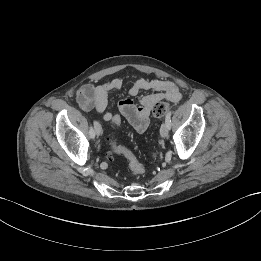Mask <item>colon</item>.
I'll use <instances>...</instances> for the list:
<instances>
[{
	"label": "colon",
	"mask_w": 261,
	"mask_h": 261,
	"mask_svg": "<svg viewBox=\"0 0 261 261\" xmlns=\"http://www.w3.org/2000/svg\"><path fill=\"white\" fill-rule=\"evenodd\" d=\"M170 104L168 102H159L153 106L152 115L155 119H159L164 116V114L169 110ZM121 122V118H114L112 123L114 125H119ZM109 145H110V156L114 154H122L124 155L129 161V167L133 174L139 175L143 174L145 168L143 164L137 159V157L130 151L129 149L120 146L117 144L114 138H109ZM153 156L155 157L156 154L154 153Z\"/></svg>",
	"instance_id": "colon-1"
}]
</instances>
